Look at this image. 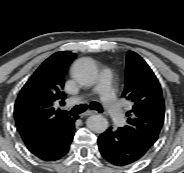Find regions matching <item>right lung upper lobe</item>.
<instances>
[{
  "label": "right lung upper lobe",
  "mask_w": 184,
  "mask_h": 173,
  "mask_svg": "<svg viewBox=\"0 0 184 173\" xmlns=\"http://www.w3.org/2000/svg\"><path fill=\"white\" fill-rule=\"evenodd\" d=\"M76 57L60 51L46 59L21 89L14 109L17 129L23 140L75 120L56 107L65 104L64 74Z\"/></svg>",
  "instance_id": "cb5924a9"
}]
</instances>
